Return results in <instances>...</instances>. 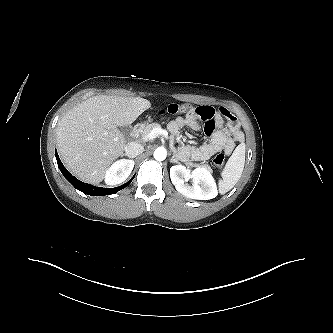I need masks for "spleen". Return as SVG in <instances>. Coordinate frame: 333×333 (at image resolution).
<instances>
[{"mask_svg":"<svg viewBox=\"0 0 333 333\" xmlns=\"http://www.w3.org/2000/svg\"><path fill=\"white\" fill-rule=\"evenodd\" d=\"M244 165L245 146L240 145L235 149L222 172L223 179L219 183V191L221 194H225L235 186L242 175Z\"/></svg>","mask_w":333,"mask_h":333,"instance_id":"obj_1","label":"spleen"}]
</instances>
